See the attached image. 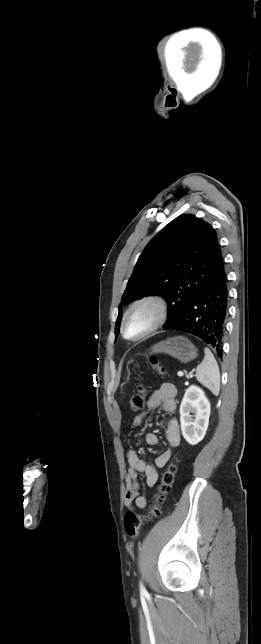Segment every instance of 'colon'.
Masks as SVG:
<instances>
[{
	"instance_id": "obj_1",
	"label": "colon",
	"mask_w": 261,
	"mask_h": 644,
	"mask_svg": "<svg viewBox=\"0 0 261 644\" xmlns=\"http://www.w3.org/2000/svg\"><path fill=\"white\" fill-rule=\"evenodd\" d=\"M149 365L154 368L158 373L165 374L164 368L159 364L156 357L152 356L148 359ZM147 396V389L144 385L137 386L136 393L131 397L130 408L137 412L145 407ZM176 464L173 462L169 464L166 470L162 473L161 481L157 487L154 495L153 502L148 511L144 514H138L133 511H127L124 515V527L126 533L130 537H137L139 535L140 527L144 522L157 518L161 514V505L164 502L165 496L170 492L171 486L174 481L176 473Z\"/></svg>"
}]
</instances>
